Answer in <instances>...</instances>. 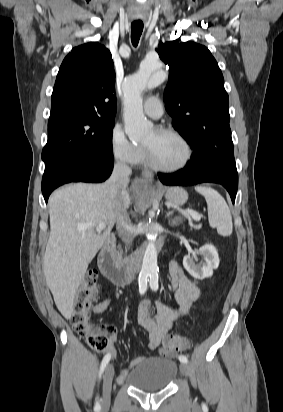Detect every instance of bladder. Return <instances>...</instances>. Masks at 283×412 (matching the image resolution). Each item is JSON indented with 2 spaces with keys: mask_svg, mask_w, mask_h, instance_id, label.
Instances as JSON below:
<instances>
[{
  "mask_svg": "<svg viewBox=\"0 0 283 412\" xmlns=\"http://www.w3.org/2000/svg\"><path fill=\"white\" fill-rule=\"evenodd\" d=\"M178 365L169 359H147L126 375L133 388L155 392L167 389L177 378Z\"/></svg>",
  "mask_w": 283,
  "mask_h": 412,
  "instance_id": "obj_1",
  "label": "bladder"
}]
</instances>
